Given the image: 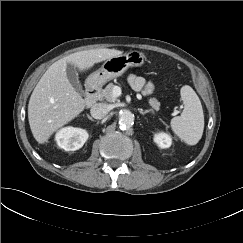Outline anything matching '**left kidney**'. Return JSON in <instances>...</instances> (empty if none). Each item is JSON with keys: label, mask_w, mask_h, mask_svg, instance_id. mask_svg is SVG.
<instances>
[{"label": "left kidney", "mask_w": 243, "mask_h": 243, "mask_svg": "<svg viewBox=\"0 0 243 243\" xmlns=\"http://www.w3.org/2000/svg\"><path fill=\"white\" fill-rule=\"evenodd\" d=\"M154 142L157 143L160 148H169L171 146L172 139L166 133H158L154 136Z\"/></svg>", "instance_id": "left-kidney-1"}]
</instances>
